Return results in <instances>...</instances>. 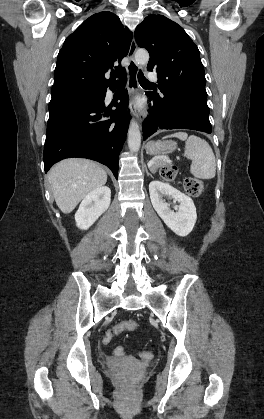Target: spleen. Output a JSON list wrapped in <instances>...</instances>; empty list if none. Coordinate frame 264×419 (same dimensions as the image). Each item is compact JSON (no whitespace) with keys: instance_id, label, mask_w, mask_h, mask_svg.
<instances>
[{"instance_id":"obj_1","label":"spleen","mask_w":264,"mask_h":419,"mask_svg":"<svg viewBox=\"0 0 264 419\" xmlns=\"http://www.w3.org/2000/svg\"><path fill=\"white\" fill-rule=\"evenodd\" d=\"M168 137L185 141L184 156L192 160L190 172L200 179H211L216 174V160L212 148L206 140L186 132H176Z\"/></svg>"}]
</instances>
